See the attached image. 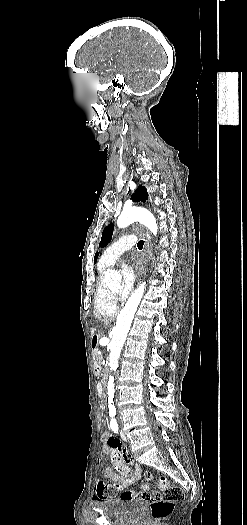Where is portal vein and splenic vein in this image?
Wrapping results in <instances>:
<instances>
[{"label": "portal vein and splenic vein", "instance_id": "1", "mask_svg": "<svg viewBox=\"0 0 247 525\" xmlns=\"http://www.w3.org/2000/svg\"><path fill=\"white\" fill-rule=\"evenodd\" d=\"M105 364H106V361H102V366H105Z\"/></svg>", "mask_w": 247, "mask_h": 525}]
</instances>
